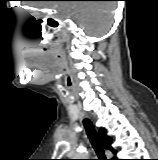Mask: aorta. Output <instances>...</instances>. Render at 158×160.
<instances>
[{
  "instance_id": "aorta-1",
  "label": "aorta",
  "mask_w": 158,
  "mask_h": 160,
  "mask_svg": "<svg viewBox=\"0 0 158 160\" xmlns=\"http://www.w3.org/2000/svg\"><path fill=\"white\" fill-rule=\"evenodd\" d=\"M77 158L75 159H87L85 157H87V152L83 149H80L76 155Z\"/></svg>"
}]
</instances>
